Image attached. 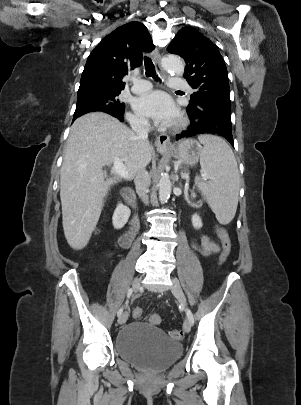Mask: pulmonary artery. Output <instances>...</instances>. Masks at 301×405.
Wrapping results in <instances>:
<instances>
[{"label": "pulmonary artery", "mask_w": 301, "mask_h": 405, "mask_svg": "<svg viewBox=\"0 0 301 405\" xmlns=\"http://www.w3.org/2000/svg\"><path fill=\"white\" fill-rule=\"evenodd\" d=\"M169 86L175 90H188L191 91L190 86L188 83L179 78V77H172L169 80ZM152 88V85L149 81L144 79H133V86L131 88L132 92L134 93H144L149 91Z\"/></svg>", "instance_id": "1"}]
</instances>
